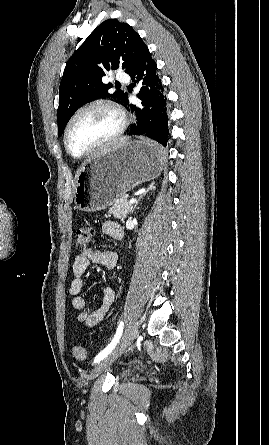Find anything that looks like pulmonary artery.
<instances>
[{
	"label": "pulmonary artery",
	"instance_id": "1",
	"mask_svg": "<svg viewBox=\"0 0 269 445\" xmlns=\"http://www.w3.org/2000/svg\"><path fill=\"white\" fill-rule=\"evenodd\" d=\"M116 79L119 80V81L126 82V81H128V76L126 74H124V73H118L116 75Z\"/></svg>",
	"mask_w": 269,
	"mask_h": 445
}]
</instances>
